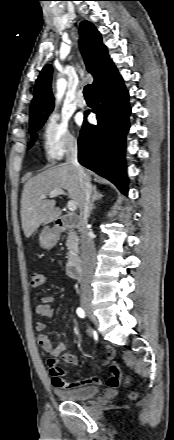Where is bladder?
<instances>
[{"label": "bladder", "mask_w": 174, "mask_h": 440, "mask_svg": "<svg viewBox=\"0 0 174 440\" xmlns=\"http://www.w3.org/2000/svg\"><path fill=\"white\" fill-rule=\"evenodd\" d=\"M99 392L97 386H83L67 391H58L60 397L68 401H80L94 397Z\"/></svg>", "instance_id": "bladder-1"}]
</instances>
